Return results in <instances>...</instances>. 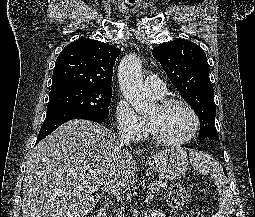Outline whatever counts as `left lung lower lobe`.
<instances>
[{"instance_id": "obj_1", "label": "left lung lower lobe", "mask_w": 255, "mask_h": 217, "mask_svg": "<svg viewBox=\"0 0 255 217\" xmlns=\"http://www.w3.org/2000/svg\"><path fill=\"white\" fill-rule=\"evenodd\" d=\"M223 170H224V173H225V174H226V176H227V172H226V169L224 168Z\"/></svg>"}]
</instances>
